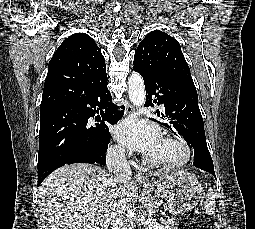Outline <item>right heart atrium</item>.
Wrapping results in <instances>:
<instances>
[{"label": "right heart atrium", "instance_id": "1", "mask_svg": "<svg viewBox=\"0 0 255 229\" xmlns=\"http://www.w3.org/2000/svg\"><path fill=\"white\" fill-rule=\"evenodd\" d=\"M110 152L115 155H120V154H122L123 150L118 146H113L110 148Z\"/></svg>", "mask_w": 255, "mask_h": 229}]
</instances>
